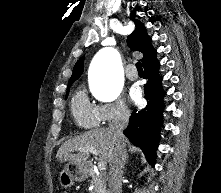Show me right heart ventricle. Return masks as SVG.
Returning a JSON list of instances; mask_svg holds the SVG:
<instances>
[{
  "mask_svg": "<svg viewBox=\"0 0 221 193\" xmlns=\"http://www.w3.org/2000/svg\"><path fill=\"white\" fill-rule=\"evenodd\" d=\"M71 112L76 124L82 128L97 127L100 123L97 105L83 91H78L72 98Z\"/></svg>",
  "mask_w": 221,
  "mask_h": 193,
  "instance_id": "1",
  "label": "right heart ventricle"
}]
</instances>
